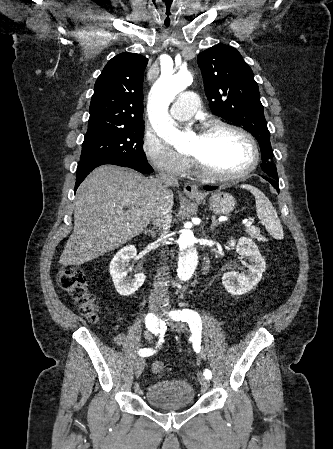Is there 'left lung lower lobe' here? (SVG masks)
<instances>
[{"label":"left lung lower lobe","instance_id":"0a47b994","mask_svg":"<svg viewBox=\"0 0 333 449\" xmlns=\"http://www.w3.org/2000/svg\"><path fill=\"white\" fill-rule=\"evenodd\" d=\"M262 177L264 179L268 180L269 182H271L272 185L277 189V191H279V187H278V184H277L278 178L277 179L276 178H269V177H265V176H262ZM216 188L217 187H215V186H206L205 187L206 190H214Z\"/></svg>","mask_w":333,"mask_h":449}]
</instances>
